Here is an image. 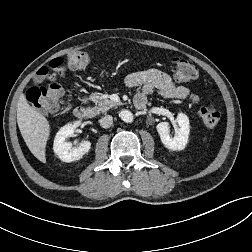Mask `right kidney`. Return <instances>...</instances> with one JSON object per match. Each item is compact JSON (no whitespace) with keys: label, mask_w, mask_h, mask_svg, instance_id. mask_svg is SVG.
I'll return each mask as SVG.
<instances>
[{"label":"right kidney","mask_w":252,"mask_h":252,"mask_svg":"<svg viewBox=\"0 0 252 252\" xmlns=\"http://www.w3.org/2000/svg\"><path fill=\"white\" fill-rule=\"evenodd\" d=\"M79 125L80 121L67 124L55 136L53 144L54 153L64 162L80 160L91 148V142L88 140H83L77 147H72V143L66 141Z\"/></svg>","instance_id":"right-kidney-1"}]
</instances>
